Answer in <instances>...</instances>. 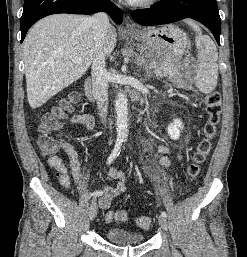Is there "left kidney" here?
<instances>
[{"instance_id": "5707ae66", "label": "left kidney", "mask_w": 247, "mask_h": 257, "mask_svg": "<svg viewBox=\"0 0 247 257\" xmlns=\"http://www.w3.org/2000/svg\"><path fill=\"white\" fill-rule=\"evenodd\" d=\"M183 129V124L180 119H174L173 123L167 128V132L171 139L177 140L180 137L181 130Z\"/></svg>"}]
</instances>
